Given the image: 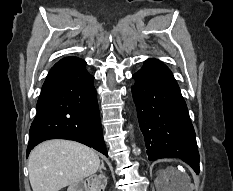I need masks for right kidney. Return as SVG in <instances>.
Returning a JSON list of instances; mask_svg holds the SVG:
<instances>
[{"label": "right kidney", "mask_w": 233, "mask_h": 191, "mask_svg": "<svg viewBox=\"0 0 233 191\" xmlns=\"http://www.w3.org/2000/svg\"><path fill=\"white\" fill-rule=\"evenodd\" d=\"M87 181L88 184H86V181L83 182L86 191H104L107 185V178H105L103 175H92L87 179ZM67 191H83V189L79 185L75 184L69 186Z\"/></svg>", "instance_id": "right-kidney-1"}]
</instances>
